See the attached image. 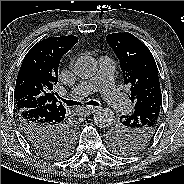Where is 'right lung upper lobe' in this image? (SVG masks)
<instances>
[{"label":"right lung upper lobe","instance_id":"right-lung-upper-lobe-1","mask_svg":"<svg viewBox=\"0 0 184 184\" xmlns=\"http://www.w3.org/2000/svg\"><path fill=\"white\" fill-rule=\"evenodd\" d=\"M78 41L76 36L49 37L35 44L26 54L15 87L17 112L40 108L58 110L52 92L58 82V66L62 56Z\"/></svg>","mask_w":184,"mask_h":184}]
</instances>
